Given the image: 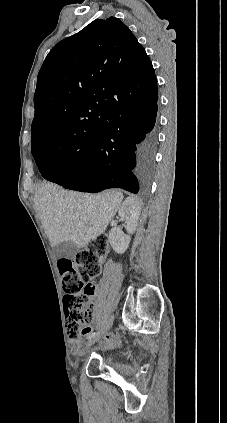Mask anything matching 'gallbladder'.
Wrapping results in <instances>:
<instances>
[{
  "label": "gallbladder",
  "mask_w": 227,
  "mask_h": 423,
  "mask_svg": "<svg viewBox=\"0 0 227 423\" xmlns=\"http://www.w3.org/2000/svg\"><path fill=\"white\" fill-rule=\"evenodd\" d=\"M53 251L56 259H60V257L73 259L78 251V247L72 241H62L59 245H54Z\"/></svg>",
  "instance_id": "bac80fb5"
}]
</instances>
